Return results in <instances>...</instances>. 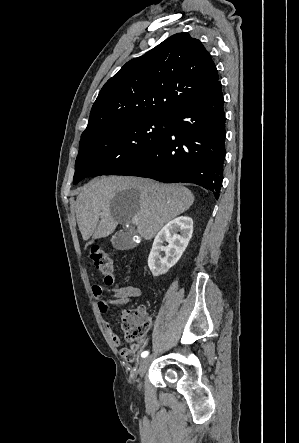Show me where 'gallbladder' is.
<instances>
[{
	"instance_id": "obj_1",
	"label": "gallbladder",
	"mask_w": 299,
	"mask_h": 443,
	"mask_svg": "<svg viewBox=\"0 0 299 443\" xmlns=\"http://www.w3.org/2000/svg\"><path fill=\"white\" fill-rule=\"evenodd\" d=\"M132 234L129 232H117L112 236V246L117 250H127L134 246Z\"/></svg>"
}]
</instances>
